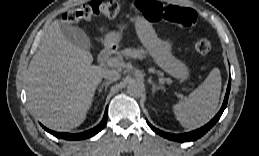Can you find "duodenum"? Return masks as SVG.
I'll return each mask as SVG.
<instances>
[{
	"label": "duodenum",
	"instance_id": "obj_1",
	"mask_svg": "<svg viewBox=\"0 0 259 156\" xmlns=\"http://www.w3.org/2000/svg\"><path fill=\"white\" fill-rule=\"evenodd\" d=\"M114 46L113 45H106L99 54V62L105 63L107 59L113 54Z\"/></svg>",
	"mask_w": 259,
	"mask_h": 156
}]
</instances>
